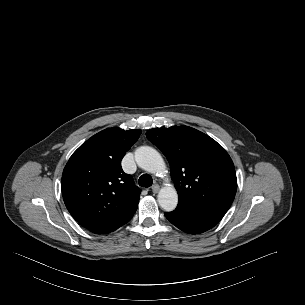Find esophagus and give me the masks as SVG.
<instances>
[{"label": "esophagus", "instance_id": "obj_1", "mask_svg": "<svg viewBox=\"0 0 305 305\" xmlns=\"http://www.w3.org/2000/svg\"><path fill=\"white\" fill-rule=\"evenodd\" d=\"M159 189H160V186H159L158 184H154V185L151 187V191H152L153 193H158Z\"/></svg>", "mask_w": 305, "mask_h": 305}]
</instances>
